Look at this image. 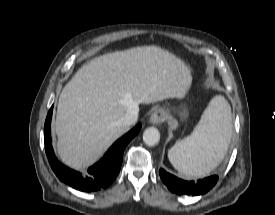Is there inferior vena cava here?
I'll return each mask as SVG.
<instances>
[{
  "instance_id": "602c4592",
  "label": "inferior vena cava",
  "mask_w": 275,
  "mask_h": 215,
  "mask_svg": "<svg viewBox=\"0 0 275 215\" xmlns=\"http://www.w3.org/2000/svg\"><path fill=\"white\" fill-rule=\"evenodd\" d=\"M138 107H134L128 110L123 118H121L120 123L125 126H130L136 123L138 119Z\"/></svg>"
}]
</instances>
